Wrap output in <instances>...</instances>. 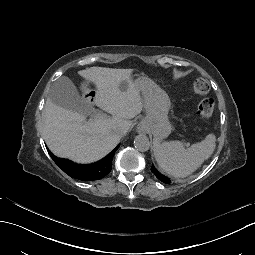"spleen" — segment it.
<instances>
[{
    "label": "spleen",
    "mask_w": 255,
    "mask_h": 255,
    "mask_svg": "<svg viewBox=\"0 0 255 255\" xmlns=\"http://www.w3.org/2000/svg\"><path fill=\"white\" fill-rule=\"evenodd\" d=\"M216 147L214 134H208L201 142L185 149L181 141L161 142L155 138L153 151L159 167L175 178H184L196 171Z\"/></svg>",
    "instance_id": "3e777b00"
}]
</instances>
